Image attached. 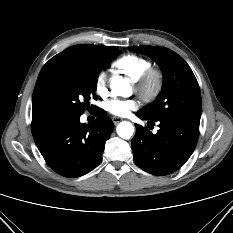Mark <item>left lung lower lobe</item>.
Wrapping results in <instances>:
<instances>
[{"label": "left lung lower lobe", "mask_w": 233, "mask_h": 233, "mask_svg": "<svg viewBox=\"0 0 233 233\" xmlns=\"http://www.w3.org/2000/svg\"><path fill=\"white\" fill-rule=\"evenodd\" d=\"M136 114L143 120H150L139 112ZM158 122L160 129L156 134L135 124L132 151L134 161L141 169L164 176L180 169L193 153L198 141L200 117L177 115ZM148 123L154 124V121Z\"/></svg>", "instance_id": "obj_1"}]
</instances>
